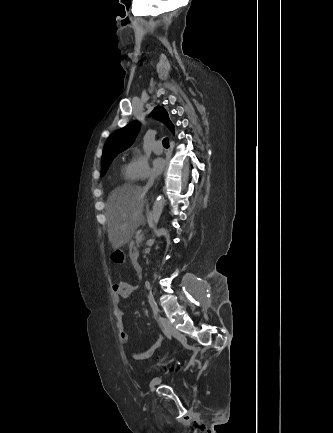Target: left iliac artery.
Instances as JSON below:
<instances>
[{
    "label": "left iliac artery",
    "instance_id": "44dca946",
    "mask_svg": "<svg viewBox=\"0 0 333 433\" xmlns=\"http://www.w3.org/2000/svg\"><path fill=\"white\" fill-rule=\"evenodd\" d=\"M150 304H151V307L153 309V312L155 314H157L158 313V306H157L156 302L153 299H150Z\"/></svg>",
    "mask_w": 333,
    "mask_h": 433
}]
</instances>
